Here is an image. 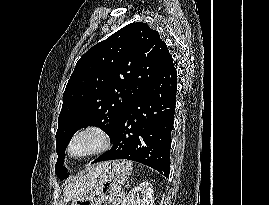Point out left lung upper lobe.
<instances>
[{
  "label": "left lung upper lobe",
  "instance_id": "obj_1",
  "mask_svg": "<svg viewBox=\"0 0 269 205\" xmlns=\"http://www.w3.org/2000/svg\"><path fill=\"white\" fill-rule=\"evenodd\" d=\"M170 53L146 23H131L90 48L77 62L58 117L55 165L60 180L65 148L76 131L99 126L110 135L122 114L163 69Z\"/></svg>",
  "mask_w": 269,
  "mask_h": 205
}]
</instances>
